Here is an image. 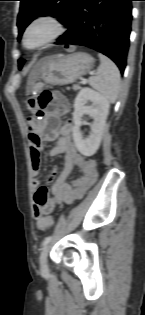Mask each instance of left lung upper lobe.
Masks as SVG:
<instances>
[{
	"instance_id": "5c2ea615",
	"label": "left lung upper lobe",
	"mask_w": 145,
	"mask_h": 315,
	"mask_svg": "<svg viewBox=\"0 0 145 315\" xmlns=\"http://www.w3.org/2000/svg\"><path fill=\"white\" fill-rule=\"evenodd\" d=\"M20 12L18 14L17 26L19 29L18 39L21 38L24 29L36 17L44 14H54L60 17L59 21L65 25L76 0H19ZM19 69L22 68L24 60L19 59Z\"/></svg>"
}]
</instances>
